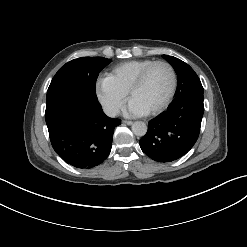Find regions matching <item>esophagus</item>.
<instances>
[{"label":"esophagus","instance_id":"esophagus-1","mask_svg":"<svg viewBox=\"0 0 247 247\" xmlns=\"http://www.w3.org/2000/svg\"><path fill=\"white\" fill-rule=\"evenodd\" d=\"M122 123L126 124V125H132L133 124V122L129 121V120H123Z\"/></svg>","mask_w":247,"mask_h":247}]
</instances>
